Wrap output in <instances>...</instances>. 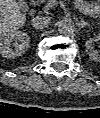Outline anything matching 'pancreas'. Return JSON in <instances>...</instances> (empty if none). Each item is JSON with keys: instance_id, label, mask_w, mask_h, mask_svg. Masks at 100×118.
Here are the masks:
<instances>
[{"instance_id": "obj_1", "label": "pancreas", "mask_w": 100, "mask_h": 118, "mask_svg": "<svg viewBox=\"0 0 100 118\" xmlns=\"http://www.w3.org/2000/svg\"><path fill=\"white\" fill-rule=\"evenodd\" d=\"M46 0H38L37 3L40 4V3H43L45 2Z\"/></svg>"}]
</instances>
